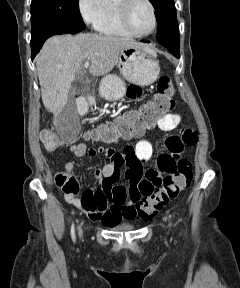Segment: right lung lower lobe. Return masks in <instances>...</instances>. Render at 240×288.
<instances>
[{"label": "right lung lower lobe", "mask_w": 240, "mask_h": 288, "mask_svg": "<svg viewBox=\"0 0 240 288\" xmlns=\"http://www.w3.org/2000/svg\"><path fill=\"white\" fill-rule=\"evenodd\" d=\"M84 30V28H77V27H71V26H55L52 27L45 32L38 38V40L31 44V51H32V60L36 56V54L40 51L43 43L48 39L49 37L53 35H58V34H75L77 32H80Z\"/></svg>", "instance_id": "1"}]
</instances>
